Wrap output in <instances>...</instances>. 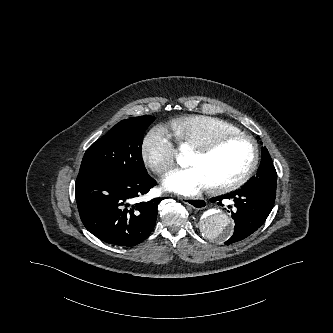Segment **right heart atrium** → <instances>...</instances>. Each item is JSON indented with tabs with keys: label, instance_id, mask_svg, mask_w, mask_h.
Instances as JSON below:
<instances>
[{
	"label": "right heart atrium",
	"instance_id": "d8ad5b80",
	"mask_svg": "<svg viewBox=\"0 0 333 333\" xmlns=\"http://www.w3.org/2000/svg\"><path fill=\"white\" fill-rule=\"evenodd\" d=\"M140 152L144 165L159 176L170 171L176 162V149L162 126L153 127L145 135Z\"/></svg>",
	"mask_w": 333,
	"mask_h": 333
}]
</instances>
